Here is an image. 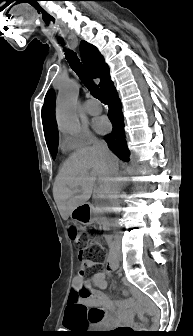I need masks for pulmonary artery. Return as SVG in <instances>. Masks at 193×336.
Listing matches in <instances>:
<instances>
[{
  "label": "pulmonary artery",
  "mask_w": 193,
  "mask_h": 336,
  "mask_svg": "<svg viewBox=\"0 0 193 336\" xmlns=\"http://www.w3.org/2000/svg\"><path fill=\"white\" fill-rule=\"evenodd\" d=\"M84 109L87 113L95 115L101 112L102 106L101 104L96 101L95 99H88L84 103Z\"/></svg>",
  "instance_id": "pulmonary-artery-1"
}]
</instances>
